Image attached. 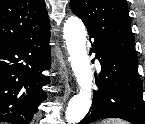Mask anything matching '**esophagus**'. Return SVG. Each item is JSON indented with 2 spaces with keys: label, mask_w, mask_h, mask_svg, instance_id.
<instances>
[{
  "label": "esophagus",
  "mask_w": 145,
  "mask_h": 124,
  "mask_svg": "<svg viewBox=\"0 0 145 124\" xmlns=\"http://www.w3.org/2000/svg\"><path fill=\"white\" fill-rule=\"evenodd\" d=\"M59 73L61 76V80L64 82L69 79V71L66 68L60 67Z\"/></svg>",
  "instance_id": "obj_1"
}]
</instances>
